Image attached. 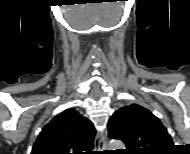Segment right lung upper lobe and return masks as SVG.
<instances>
[{"mask_svg": "<svg viewBox=\"0 0 190 154\" xmlns=\"http://www.w3.org/2000/svg\"><path fill=\"white\" fill-rule=\"evenodd\" d=\"M95 128L76 109L70 108L44 126L31 154H83L93 148Z\"/></svg>", "mask_w": 190, "mask_h": 154, "instance_id": "obj_1", "label": "right lung upper lobe"}]
</instances>
